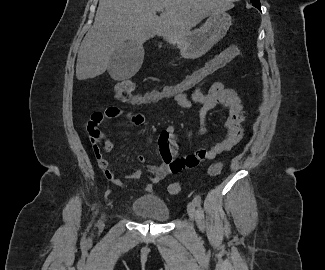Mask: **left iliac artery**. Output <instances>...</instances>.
Returning <instances> with one entry per match:
<instances>
[{"mask_svg":"<svg viewBox=\"0 0 325 270\" xmlns=\"http://www.w3.org/2000/svg\"><path fill=\"white\" fill-rule=\"evenodd\" d=\"M196 206H199L201 204V198L200 196L196 195L193 199Z\"/></svg>","mask_w":325,"mask_h":270,"instance_id":"44dca946","label":"left iliac artery"}]
</instances>
